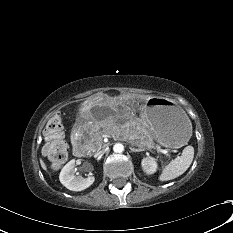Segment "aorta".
Wrapping results in <instances>:
<instances>
[{"instance_id": "762f6f07", "label": "aorta", "mask_w": 233, "mask_h": 233, "mask_svg": "<svg viewBox=\"0 0 233 233\" xmlns=\"http://www.w3.org/2000/svg\"><path fill=\"white\" fill-rule=\"evenodd\" d=\"M113 151L115 153H122L124 151V146L123 144L121 143H116L114 146H113Z\"/></svg>"}]
</instances>
